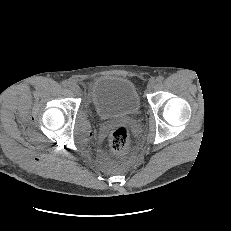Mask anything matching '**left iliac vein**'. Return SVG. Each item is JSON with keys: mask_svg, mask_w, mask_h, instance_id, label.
<instances>
[{"mask_svg": "<svg viewBox=\"0 0 231 231\" xmlns=\"http://www.w3.org/2000/svg\"><path fill=\"white\" fill-rule=\"evenodd\" d=\"M157 85V82L155 79H150L147 84V89L148 90H153Z\"/></svg>", "mask_w": 231, "mask_h": 231, "instance_id": "obj_1", "label": "left iliac vein"}]
</instances>
